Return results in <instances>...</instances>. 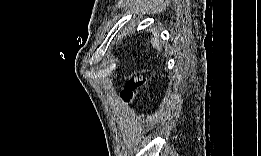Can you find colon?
Masks as SVG:
<instances>
[{"instance_id":"obj_1","label":"colon","mask_w":261,"mask_h":156,"mask_svg":"<svg viewBox=\"0 0 261 156\" xmlns=\"http://www.w3.org/2000/svg\"><path fill=\"white\" fill-rule=\"evenodd\" d=\"M148 84L149 78L147 76L140 75L129 78L121 92V99L125 103H132L137 98L138 93L145 89Z\"/></svg>"}]
</instances>
